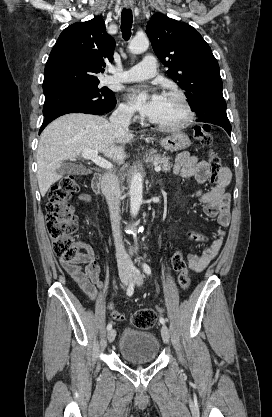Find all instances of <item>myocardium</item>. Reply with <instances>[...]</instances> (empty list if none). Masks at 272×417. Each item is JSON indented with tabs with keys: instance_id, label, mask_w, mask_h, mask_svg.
<instances>
[{
	"instance_id": "obj_1",
	"label": "myocardium",
	"mask_w": 272,
	"mask_h": 417,
	"mask_svg": "<svg viewBox=\"0 0 272 417\" xmlns=\"http://www.w3.org/2000/svg\"><path fill=\"white\" fill-rule=\"evenodd\" d=\"M166 96L175 97L181 102V104L184 108V111H185L184 118L181 121H179L177 123H172V124L158 123V122H155V121H152V123L156 127H158L159 129L164 130V131H177V130H181V129L186 128L188 125L191 124V122L194 119V110H193V107L190 103L189 98L187 97V95L183 91H181L179 89L169 90L166 93Z\"/></svg>"
}]
</instances>
